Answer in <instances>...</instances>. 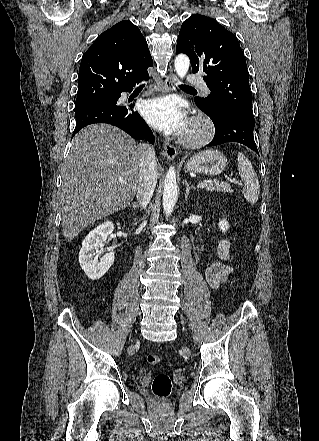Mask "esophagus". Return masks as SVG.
Segmentation results:
<instances>
[{
    "instance_id": "1",
    "label": "esophagus",
    "mask_w": 319,
    "mask_h": 441,
    "mask_svg": "<svg viewBox=\"0 0 319 441\" xmlns=\"http://www.w3.org/2000/svg\"><path fill=\"white\" fill-rule=\"evenodd\" d=\"M165 92H175L177 90V76L173 72H169L164 80ZM164 151L168 160H173L177 155L176 148L169 142L164 143Z\"/></svg>"
}]
</instances>
